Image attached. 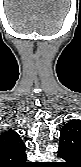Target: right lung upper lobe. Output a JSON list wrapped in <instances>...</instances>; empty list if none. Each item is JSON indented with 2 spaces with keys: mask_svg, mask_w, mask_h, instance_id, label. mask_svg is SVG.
<instances>
[{
  "mask_svg": "<svg viewBox=\"0 0 81 167\" xmlns=\"http://www.w3.org/2000/svg\"><path fill=\"white\" fill-rule=\"evenodd\" d=\"M25 144L15 131L0 135V167H25Z\"/></svg>",
  "mask_w": 81,
  "mask_h": 167,
  "instance_id": "obj_1",
  "label": "right lung upper lobe"
}]
</instances>
